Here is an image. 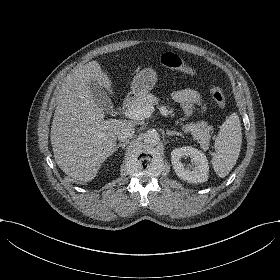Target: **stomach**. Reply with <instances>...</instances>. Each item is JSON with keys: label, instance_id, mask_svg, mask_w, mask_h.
I'll return each mask as SVG.
<instances>
[{"label": "stomach", "instance_id": "stomach-1", "mask_svg": "<svg viewBox=\"0 0 280 280\" xmlns=\"http://www.w3.org/2000/svg\"><path fill=\"white\" fill-rule=\"evenodd\" d=\"M157 82V73L152 68H145L137 73L131 83V93L129 97L136 99L140 95H146L150 90L153 89Z\"/></svg>", "mask_w": 280, "mask_h": 280}]
</instances>
